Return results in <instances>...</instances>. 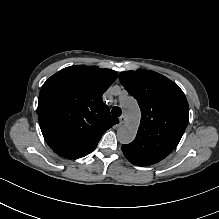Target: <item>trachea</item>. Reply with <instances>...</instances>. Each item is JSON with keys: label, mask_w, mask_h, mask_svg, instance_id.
I'll return each instance as SVG.
<instances>
[{"label": "trachea", "mask_w": 219, "mask_h": 219, "mask_svg": "<svg viewBox=\"0 0 219 219\" xmlns=\"http://www.w3.org/2000/svg\"><path fill=\"white\" fill-rule=\"evenodd\" d=\"M111 112H112V115H113V116L119 117V116H121L122 110H121L120 107L114 106V107L112 108Z\"/></svg>", "instance_id": "3493384b"}]
</instances>
